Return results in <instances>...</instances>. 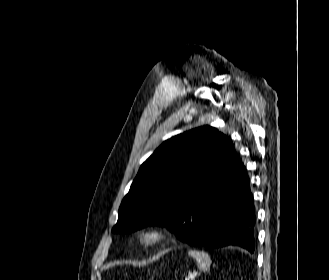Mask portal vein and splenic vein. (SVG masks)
Segmentation results:
<instances>
[{
    "label": "portal vein and splenic vein",
    "instance_id": "1",
    "mask_svg": "<svg viewBox=\"0 0 329 280\" xmlns=\"http://www.w3.org/2000/svg\"><path fill=\"white\" fill-rule=\"evenodd\" d=\"M195 278V275L193 274V275H191L190 277H188L186 280H193Z\"/></svg>",
    "mask_w": 329,
    "mask_h": 280
}]
</instances>
